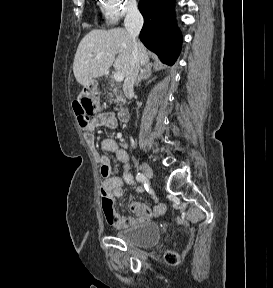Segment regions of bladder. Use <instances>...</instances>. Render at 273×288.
I'll return each instance as SVG.
<instances>
[{
  "label": "bladder",
  "mask_w": 273,
  "mask_h": 288,
  "mask_svg": "<svg viewBox=\"0 0 273 288\" xmlns=\"http://www.w3.org/2000/svg\"><path fill=\"white\" fill-rule=\"evenodd\" d=\"M114 236L135 248H152L161 240V230L156 223L135 224L114 233Z\"/></svg>",
  "instance_id": "obj_1"
}]
</instances>
